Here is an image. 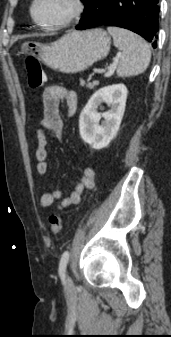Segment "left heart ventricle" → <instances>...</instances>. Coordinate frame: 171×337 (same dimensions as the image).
<instances>
[{
	"label": "left heart ventricle",
	"instance_id": "b2bd125f",
	"mask_svg": "<svg viewBox=\"0 0 171 337\" xmlns=\"http://www.w3.org/2000/svg\"><path fill=\"white\" fill-rule=\"evenodd\" d=\"M71 10V0H39L36 17L45 24H56L63 21Z\"/></svg>",
	"mask_w": 171,
	"mask_h": 337
}]
</instances>
